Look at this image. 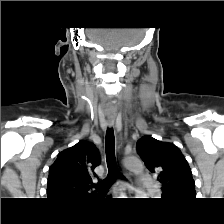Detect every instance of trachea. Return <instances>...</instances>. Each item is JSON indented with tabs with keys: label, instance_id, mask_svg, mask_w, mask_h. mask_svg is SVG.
Returning a JSON list of instances; mask_svg holds the SVG:
<instances>
[{
	"label": "trachea",
	"instance_id": "3493384b",
	"mask_svg": "<svg viewBox=\"0 0 224 224\" xmlns=\"http://www.w3.org/2000/svg\"><path fill=\"white\" fill-rule=\"evenodd\" d=\"M105 150H106V161L108 167L107 178L95 186V188L100 193H105L110 188L112 183L117 177L122 178V175L117 167L116 158H115V137L113 128H108L105 138Z\"/></svg>",
	"mask_w": 224,
	"mask_h": 224
}]
</instances>
